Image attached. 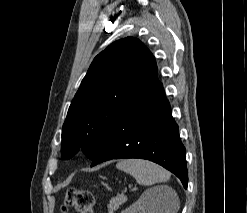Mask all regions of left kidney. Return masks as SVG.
<instances>
[{
    "label": "left kidney",
    "instance_id": "1",
    "mask_svg": "<svg viewBox=\"0 0 247 213\" xmlns=\"http://www.w3.org/2000/svg\"><path fill=\"white\" fill-rule=\"evenodd\" d=\"M159 202L157 192L147 190L135 203L121 213H159Z\"/></svg>",
    "mask_w": 247,
    "mask_h": 213
}]
</instances>
